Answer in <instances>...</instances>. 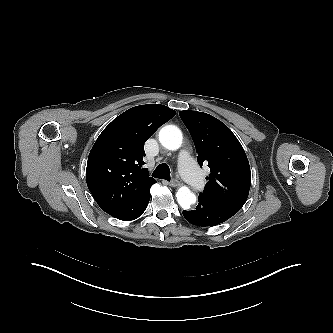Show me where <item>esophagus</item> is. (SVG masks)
Returning a JSON list of instances; mask_svg holds the SVG:
<instances>
[{
	"label": "esophagus",
	"instance_id": "34e87169",
	"mask_svg": "<svg viewBox=\"0 0 333 333\" xmlns=\"http://www.w3.org/2000/svg\"><path fill=\"white\" fill-rule=\"evenodd\" d=\"M168 184H169L171 187H178V186L181 185V183H180L178 180H176V179H174V180L168 182Z\"/></svg>",
	"mask_w": 333,
	"mask_h": 333
}]
</instances>
